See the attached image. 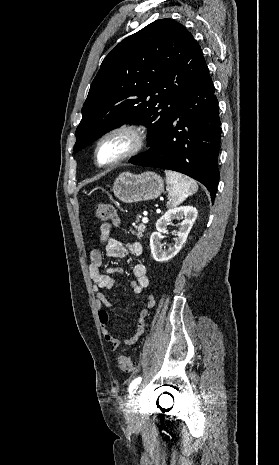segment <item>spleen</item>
<instances>
[{"instance_id": "obj_1", "label": "spleen", "mask_w": 279, "mask_h": 465, "mask_svg": "<svg viewBox=\"0 0 279 465\" xmlns=\"http://www.w3.org/2000/svg\"><path fill=\"white\" fill-rule=\"evenodd\" d=\"M165 174L170 197L167 202L168 207H176L198 190L197 183L189 177L174 171H165Z\"/></svg>"}]
</instances>
